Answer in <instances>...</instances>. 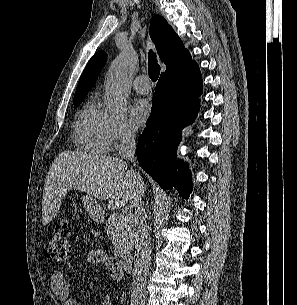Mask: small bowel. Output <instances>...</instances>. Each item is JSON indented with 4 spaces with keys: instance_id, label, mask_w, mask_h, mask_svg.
Wrapping results in <instances>:
<instances>
[{
    "instance_id": "small-bowel-1",
    "label": "small bowel",
    "mask_w": 297,
    "mask_h": 305,
    "mask_svg": "<svg viewBox=\"0 0 297 305\" xmlns=\"http://www.w3.org/2000/svg\"><path fill=\"white\" fill-rule=\"evenodd\" d=\"M87 260L91 265L104 264L114 280L120 281L122 279L123 272L119 263L104 250H91L88 253ZM50 286L53 293L59 299H62L63 305H80L79 302L71 296L68 280L63 273H53L50 280Z\"/></svg>"
}]
</instances>
